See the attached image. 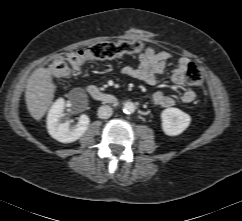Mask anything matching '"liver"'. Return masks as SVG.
Returning a JSON list of instances; mask_svg holds the SVG:
<instances>
[{
	"label": "liver",
	"instance_id": "1",
	"mask_svg": "<svg viewBox=\"0 0 242 221\" xmlns=\"http://www.w3.org/2000/svg\"><path fill=\"white\" fill-rule=\"evenodd\" d=\"M56 86L50 70L44 67L36 69L27 81L25 100L30 115L41 120L52 104Z\"/></svg>",
	"mask_w": 242,
	"mask_h": 221
}]
</instances>
